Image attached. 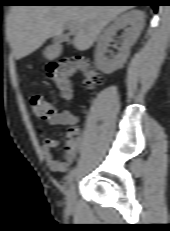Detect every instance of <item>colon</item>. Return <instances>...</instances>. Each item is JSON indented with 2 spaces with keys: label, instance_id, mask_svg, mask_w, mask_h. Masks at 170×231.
<instances>
[{
  "label": "colon",
  "instance_id": "5ec220e1",
  "mask_svg": "<svg viewBox=\"0 0 170 231\" xmlns=\"http://www.w3.org/2000/svg\"><path fill=\"white\" fill-rule=\"evenodd\" d=\"M46 72L64 98L71 95V81L76 74L81 75L82 83L86 88L91 89L103 83V76L95 64L78 56L65 57L52 62L47 66ZM29 102L32 113L39 119L47 120L56 112L53 106L39 94L30 95ZM80 135L77 127H70L66 132V144L76 143Z\"/></svg>",
  "mask_w": 170,
  "mask_h": 231
}]
</instances>
